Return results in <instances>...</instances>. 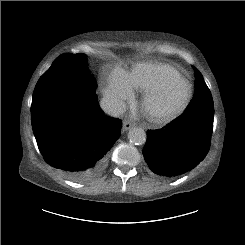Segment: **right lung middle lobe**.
I'll list each match as a JSON object with an SVG mask.
<instances>
[{"label":"right lung middle lobe","instance_id":"1","mask_svg":"<svg viewBox=\"0 0 245 245\" xmlns=\"http://www.w3.org/2000/svg\"><path fill=\"white\" fill-rule=\"evenodd\" d=\"M96 86V79L88 68L87 56L83 53H65L52 63L37 82L32 107L64 94L94 92Z\"/></svg>","mask_w":245,"mask_h":245}]
</instances>
